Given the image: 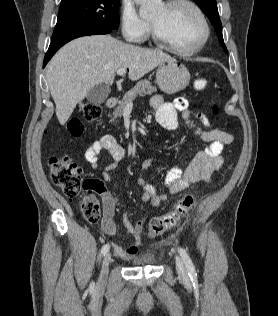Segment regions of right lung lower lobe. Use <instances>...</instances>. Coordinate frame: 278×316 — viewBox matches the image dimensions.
Instances as JSON below:
<instances>
[{"instance_id": "1", "label": "right lung lower lobe", "mask_w": 278, "mask_h": 316, "mask_svg": "<svg viewBox=\"0 0 278 316\" xmlns=\"http://www.w3.org/2000/svg\"><path fill=\"white\" fill-rule=\"evenodd\" d=\"M112 29L110 28H99V29H88L80 32H76L73 34H70L68 36H65L59 40L51 42L49 49L45 55L43 67L48 63V61L51 59V57L55 54V52L62 47L64 44L69 42L70 40H73L77 37L81 36H87V35H100V34H107L110 33Z\"/></svg>"}]
</instances>
